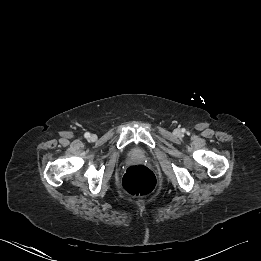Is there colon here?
<instances>
[{"label":"colon","mask_w":261,"mask_h":261,"mask_svg":"<svg viewBox=\"0 0 261 261\" xmlns=\"http://www.w3.org/2000/svg\"><path fill=\"white\" fill-rule=\"evenodd\" d=\"M156 184L154 173L144 165L130 166L122 176L121 189L129 196L145 195Z\"/></svg>","instance_id":"obj_1"}]
</instances>
